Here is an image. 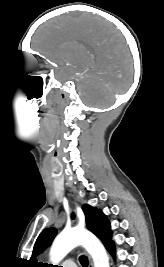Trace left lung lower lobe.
<instances>
[{
    "mask_svg": "<svg viewBox=\"0 0 164 267\" xmlns=\"http://www.w3.org/2000/svg\"><path fill=\"white\" fill-rule=\"evenodd\" d=\"M112 234H110L104 241L103 244L106 247V249L114 256L115 254V248L114 243L112 242Z\"/></svg>",
    "mask_w": 164,
    "mask_h": 267,
    "instance_id": "1",
    "label": "left lung lower lobe"
}]
</instances>
